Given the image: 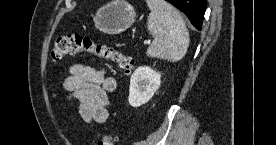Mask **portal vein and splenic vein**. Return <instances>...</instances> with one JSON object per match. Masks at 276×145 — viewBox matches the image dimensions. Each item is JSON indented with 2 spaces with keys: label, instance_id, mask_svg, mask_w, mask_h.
<instances>
[{
  "label": "portal vein and splenic vein",
  "instance_id": "obj_1",
  "mask_svg": "<svg viewBox=\"0 0 276 145\" xmlns=\"http://www.w3.org/2000/svg\"><path fill=\"white\" fill-rule=\"evenodd\" d=\"M147 44H150V41H149V40H145V41H144V45H147Z\"/></svg>",
  "mask_w": 276,
  "mask_h": 145
}]
</instances>
